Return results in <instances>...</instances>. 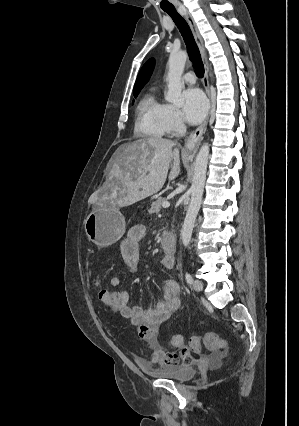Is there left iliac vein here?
Returning a JSON list of instances; mask_svg holds the SVG:
<instances>
[{"label": "left iliac vein", "mask_w": 299, "mask_h": 426, "mask_svg": "<svg viewBox=\"0 0 299 426\" xmlns=\"http://www.w3.org/2000/svg\"><path fill=\"white\" fill-rule=\"evenodd\" d=\"M193 288L195 291L200 292L203 290V283L199 280L193 281Z\"/></svg>", "instance_id": "left-iliac-vein-1"}]
</instances>
